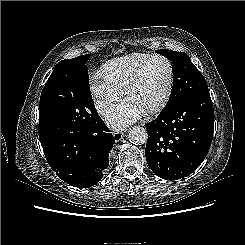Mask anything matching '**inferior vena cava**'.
Listing matches in <instances>:
<instances>
[{
  "label": "inferior vena cava",
  "mask_w": 245,
  "mask_h": 245,
  "mask_svg": "<svg viewBox=\"0 0 245 245\" xmlns=\"http://www.w3.org/2000/svg\"><path fill=\"white\" fill-rule=\"evenodd\" d=\"M106 107H107V104L105 102H103V101H98L96 103V109L101 114L104 112Z\"/></svg>",
  "instance_id": "obj_1"
}]
</instances>
